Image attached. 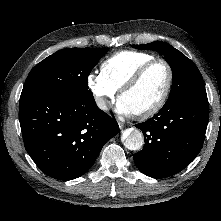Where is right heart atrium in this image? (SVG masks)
<instances>
[{"instance_id": "1", "label": "right heart atrium", "mask_w": 221, "mask_h": 221, "mask_svg": "<svg viewBox=\"0 0 221 221\" xmlns=\"http://www.w3.org/2000/svg\"><path fill=\"white\" fill-rule=\"evenodd\" d=\"M86 84L100 110H107L115 99L117 90L109 84L101 72H90Z\"/></svg>"}]
</instances>
